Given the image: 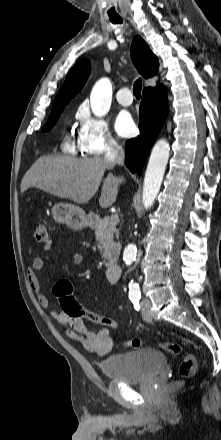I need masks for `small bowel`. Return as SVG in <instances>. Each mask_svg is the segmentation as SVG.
Here are the masks:
<instances>
[{"label":"small bowel","mask_w":221,"mask_h":440,"mask_svg":"<svg viewBox=\"0 0 221 440\" xmlns=\"http://www.w3.org/2000/svg\"><path fill=\"white\" fill-rule=\"evenodd\" d=\"M51 247L46 246L45 250ZM73 265L79 266L83 263V255L75 253L72 257ZM43 268V260L40 257H34L26 270L27 281L36 295L37 301L42 308L49 310L50 315L59 324H61L66 331L69 338L79 342L86 350L97 353L99 355L107 354L113 347L114 338L111 330L113 329H98L95 330L94 321H86L84 318H79L78 321H68L66 315H62L61 309H51L47 296L43 293L41 283L37 273ZM91 312V311H89Z\"/></svg>","instance_id":"1"}]
</instances>
